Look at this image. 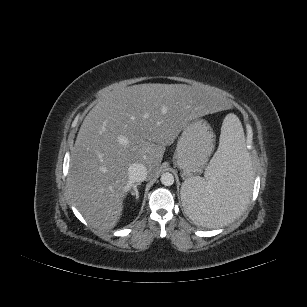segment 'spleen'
<instances>
[{
	"label": "spleen",
	"mask_w": 307,
	"mask_h": 307,
	"mask_svg": "<svg viewBox=\"0 0 307 307\" xmlns=\"http://www.w3.org/2000/svg\"><path fill=\"white\" fill-rule=\"evenodd\" d=\"M251 188L243 128L236 115L228 114L222 123L219 147L204 177H191L182 183V203L194 223L218 228L242 213Z\"/></svg>",
	"instance_id": "spleen-1"
}]
</instances>
